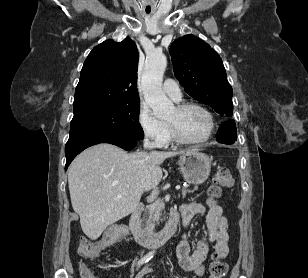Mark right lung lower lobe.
I'll return each mask as SVG.
<instances>
[{
  "label": "right lung lower lobe",
  "instance_id": "1",
  "mask_svg": "<svg viewBox=\"0 0 308 278\" xmlns=\"http://www.w3.org/2000/svg\"><path fill=\"white\" fill-rule=\"evenodd\" d=\"M136 138L123 136V135H111V134H85L74 137H69L65 146L66 165L67 170L72 160L89 146L99 143H110L119 146L125 150L133 149L137 144Z\"/></svg>",
  "mask_w": 308,
  "mask_h": 278
}]
</instances>
